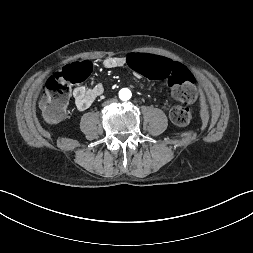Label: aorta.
<instances>
[{"instance_id": "aorta-1", "label": "aorta", "mask_w": 253, "mask_h": 253, "mask_svg": "<svg viewBox=\"0 0 253 253\" xmlns=\"http://www.w3.org/2000/svg\"><path fill=\"white\" fill-rule=\"evenodd\" d=\"M130 96H131V93L128 89H122L119 93L120 99L124 101L128 100Z\"/></svg>"}]
</instances>
